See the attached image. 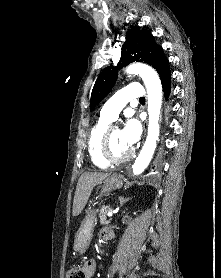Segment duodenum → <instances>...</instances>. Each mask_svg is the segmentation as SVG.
Returning a JSON list of instances; mask_svg holds the SVG:
<instances>
[{
    "mask_svg": "<svg viewBox=\"0 0 221 278\" xmlns=\"http://www.w3.org/2000/svg\"><path fill=\"white\" fill-rule=\"evenodd\" d=\"M112 235H113L112 231L109 230V229H106L105 233H104V239L108 241V240H110L112 238Z\"/></svg>",
    "mask_w": 221,
    "mask_h": 278,
    "instance_id": "obj_1",
    "label": "duodenum"
}]
</instances>
